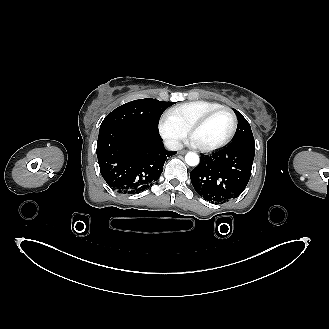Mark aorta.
Here are the masks:
<instances>
[{"label": "aorta", "instance_id": "1", "mask_svg": "<svg viewBox=\"0 0 329 329\" xmlns=\"http://www.w3.org/2000/svg\"><path fill=\"white\" fill-rule=\"evenodd\" d=\"M199 156L198 154H196L195 152H188L185 155V162L189 165V166H197L199 164Z\"/></svg>", "mask_w": 329, "mask_h": 329}]
</instances>
